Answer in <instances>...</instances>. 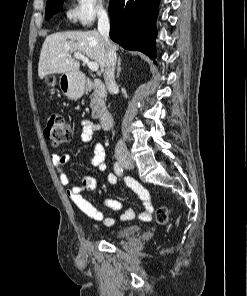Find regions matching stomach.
Returning a JSON list of instances; mask_svg holds the SVG:
<instances>
[{"label":"stomach","instance_id":"1","mask_svg":"<svg viewBox=\"0 0 247 296\" xmlns=\"http://www.w3.org/2000/svg\"><path fill=\"white\" fill-rule=\"evenodd\" d=\"M44 83L48 87H54L57 78L54 74L47 75ZM59 85L62 92L69 98L76 99L83 95L84 86L77 73H64L59 77Z\"/></svg>","mask_w":247,"mask_h":296}]
</instances>
